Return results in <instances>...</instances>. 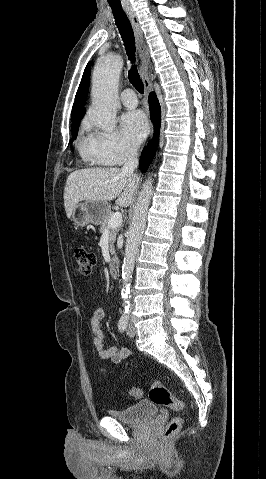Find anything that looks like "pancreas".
Segmentation results:
<instances>
[{
	"label": "pancreas",
	"instance_id": "obj_1",
	"mask_svg": "<svg viewBox=\"0 0 266 479\" xmlns=\"http://www.w3.org/2000/svg\"><path fill=\"white\" fill-rule=\"evenodd\" d=\"M113 215V213H109L103 220V222L101 223V226H100V232L101 233H104L106 231L109 232V241H110V252L111 254H114L115 253V248H114V242H115V239H116V235L120 229V226L118 227H115V228H109L108 227V222H109V219L110 217Z\"/></svg>",
	"mask_w": 266,
	"mask_h": 479
}]
</instances>
